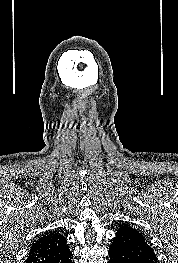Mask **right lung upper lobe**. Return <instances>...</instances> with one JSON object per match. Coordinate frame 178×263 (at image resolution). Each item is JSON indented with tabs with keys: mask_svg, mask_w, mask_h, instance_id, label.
<instances>
[{
	"mask_svg": "<svg viewBox=\"0 0 178 263\" xmlns=\"http://www.w3.org/2000/svg\"><path fill=\"white\" fill-rule=\"evenodd\" d=\"M67 251L69 248L64 236L56 230L49 231L35 240L25 263H51Z\"/></svg>",
	"mask_w": 178,
	"mask_h": 263,
	"instance_id": "1",
	"label": "right lung upper lobe"
}]
</instances>
